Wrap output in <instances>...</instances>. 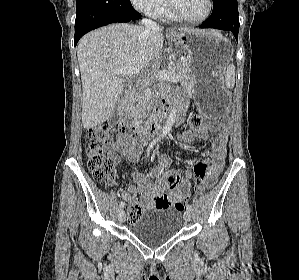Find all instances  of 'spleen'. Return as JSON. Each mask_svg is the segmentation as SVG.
<instances>
[{"label":"spleen","instance_id":"3e777b00","mask_svg":"<svg viewBox=\"0 0 299 280\" xmlns=\"http://www.w3.org/2000/svg\"><path fill=\"white\" fill-rule=\"evenodd\" d=\"M225 85L232 89L235 85V66L233 63L229 64L225 75Z\"/></svg>","mask_w":299,"mask_h":280}]
</instances>
